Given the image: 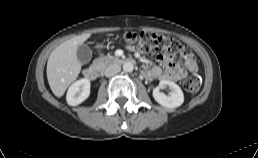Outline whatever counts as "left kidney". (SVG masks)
I'll list each match as a JSON object with an SVG mask.
<instances>
[{"label":"left kidney","instance_id":"1","mask_svg":"<svg viewBox=\"0 0 258 158\" xmlns=\"http://www.w3.org/2000/svg\"><path fill=\"white\" fill-rule=\"evenodd\" d=\"M169 87L171 92L169 95L164 94L160 89ZM153 97L160 105L166 108H176L183 104L184 95L181 88L174 82L168 80H161L158 87L153 90Z\"/></svg>","mask_w":258,"mask_h":158}]
</instances>
